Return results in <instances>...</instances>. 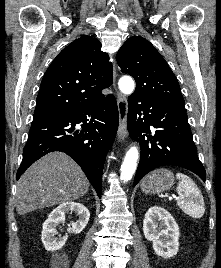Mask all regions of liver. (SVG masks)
<instances>
[{
	"mask_svg": "<svg viewBox=\"0 0 221 268\" xmlns=\"http://www.w3.org/2000/svg\"><path fill=\"white\" fill-rule=\"evenodd\" d=\"M90 183L66 154L52 152L31 165L17 184L16 210L20 215L71 202L84 196Z\"/></svg>",
	"mask_w": 221,
	"mask_h": 268,
	"instance_id": "1",
	"label": "liver"
}]
</instances>
